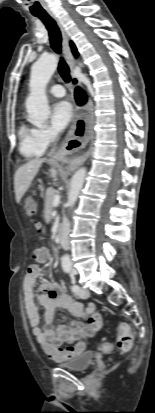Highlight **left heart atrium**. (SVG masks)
Wrapping results in <instances>:
<instances>
[{
  "mask_svg": "<svg viewBox=\"0 0 155 413\" xmlns=\"http://www.w3.org/2000/svg\"><path fill=\"white\" fill-rule=\"evenodd\" d=\"M73 118V109L69 102L56 103L52 109L51 122L56 131L65 129Z\"/></svg>",
  "mask_w": 155,
  "mask_h": 413,
  "instance_id": "obj_1",
  "label": "left heart atrium"
}]
</instances>
